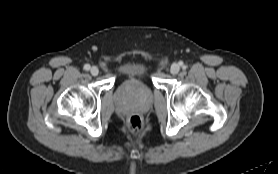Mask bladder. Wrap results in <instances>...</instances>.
Wrapping results in <instances>:
<instances>
[{
    "mask_svg": "<svg viewBox=\"0 0 278 174\" xmlns=\"http://www.w3.org/2000/svg\"><path fill=\"white\" fill-rule=\"evenodd\" d=\"M120 71L129 77H144L148 73V67L140 61H129L121 65Z\"/></svg>",
    "mask_w": 278,
    "mask_h": 174,
    "instance_id": "obj_1",
    "label": "bladder"
}]
</instances>
